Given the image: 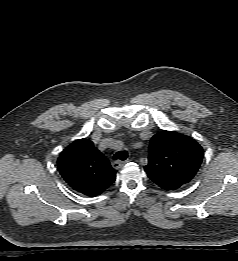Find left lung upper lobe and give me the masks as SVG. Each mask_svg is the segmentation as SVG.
<instances>
[{
	"label": "left lung upper lobe",
	"instance_id": "1",
	"mask_svg": "<svg viewBox=\"0 0 238 261\" xmlns=\"http://www.w3.org/2000/svg\"><path fill=\"white\" fill-rule=\"evenodd\" d=\"M148 165L144 167L148 177L165 190H175L197 173L202 159V147L191 137L161 131L150 140Z\"/></svg>",
	"mask_w": 238,
	"mask_h": 261
}]
</instances>
